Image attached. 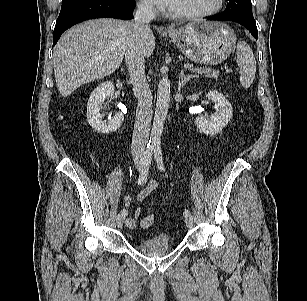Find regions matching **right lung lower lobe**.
I'll list each match as a JSON object with an SVG mask.
<instances>
[{
	"mask_svg": "<svg viewBox=\"0 0 307 301\" xmlns=\"http://www.w3.org/2000/svg\"><path fill=\"white\" fill-rule=\"evenodd\" d=\"M134 6V0H76L62 4L54 28L53 45L66 29L87 19L103 17L132 19Z\"/></svg>",
	"mask_w": 307,
	"mask_h": 301,
	"instance_id": "right-lung-lower-lobe-1",
	"label": "right lung lower lobe"
}]
</instances>
